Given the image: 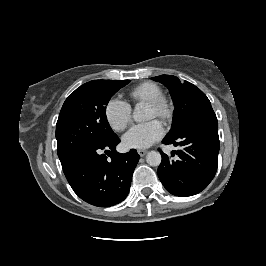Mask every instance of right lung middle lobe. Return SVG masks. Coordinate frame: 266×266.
Returning a JSON list of instances; mask_svg holds the SVG:
<instances>
[{
    "instance_id": "1",
    "label": "right lung middle lobe",
    "mask_w": 266,
    "mask_h": 266,
    "mask_svg": "<svg viewBox=\"0 0 266 266\" xmlns=\"http://www.w3.org/2000/svg\"><path fill=\"white\" fill-rule=\"evenodd\" d=\"M128 83L129 80H93L68 96L56 124L60 161L79 150L92 149L116 135L107 122L106 105Z\"/></svg>"
}]
</instances>
